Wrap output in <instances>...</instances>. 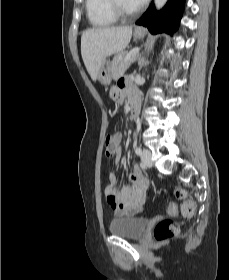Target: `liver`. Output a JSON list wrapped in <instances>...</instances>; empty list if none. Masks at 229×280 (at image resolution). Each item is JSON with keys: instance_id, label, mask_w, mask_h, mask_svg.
I'll list each match as a JSON object with an SVG mask.
<instances>
[{"instance_id": "obj_1", "label": "liver", "mask_w": 229, "mask_h": 280, "mask_svg": "<svg viewBox=\"0 0 229 280\" xmlns=\"http://www.w3.org/2000/svg\"><path fill=\"white\" fill-rule=\"evenodd\" d=\"M132 27H98L87 29L81 36V55L93 81L107 57L120 53L129 44Z\"/></svg>"}]
</instances>
